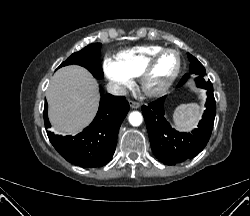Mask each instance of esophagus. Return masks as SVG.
Masks as SVG:
<instances>
[{
    "instance_id": "34e87169",
    "label": "esophagus",
    "mask_w": 250,
    "mask_h": 216,
    "mask_svg": "<svg viewBox=\"0 0 250 216\" xmlns=\"http://www.w3.org/2000/svg\"><path fill=\"white\" fill-rule=\"evenodd\" d=\"M129 104H130V107L133 108V109H137V108L140 107V103L136 102V101H133V100H129Z\"/></svg>"
}]
</instances>
